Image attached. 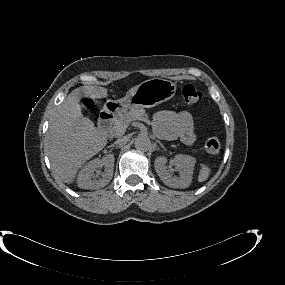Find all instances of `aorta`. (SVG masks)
Segmentation results:
<instances>
[{
  "label": "aorta",
  "mask_w": 285,
  "mask_h": 285,
  "mask_svg": "<svg viewBox=\"0 0 285 285\" xmlns=\"http://www.w3.org/2000/svg\"><path fill=\"white\" fill-rule=\"evenodd\" d=\"M135 148L140 151H147L151 147L150 139L147 135H139L135 138Z\"/></svg>",
  "instance_id": "762f6f07"
}]
</instances>
